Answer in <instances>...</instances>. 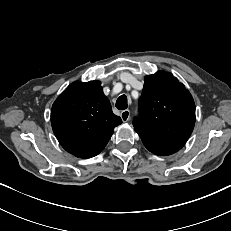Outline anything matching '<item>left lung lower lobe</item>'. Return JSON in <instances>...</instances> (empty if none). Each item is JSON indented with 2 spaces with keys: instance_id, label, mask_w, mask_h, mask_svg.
<instances>
[{
  "instance_id": "obj_1",
  "label": "left lung lower lobe",
  "mask_w": 231,
  "mask_h": 231,
  "mask_svg": "<svg viewBox=\"0 0 231 231\" xmlns=\"http://www.w3.org/2000/svg\"><path fill=\"white\" fill-rule=\"evenodd\" d=\"M145 147L152 153L156 154V155H160V156H167V155H171L173 153L164 150V149H160L158 147H155L153 145H148V144H144Z\"/></svg>"
}]
</instances>
